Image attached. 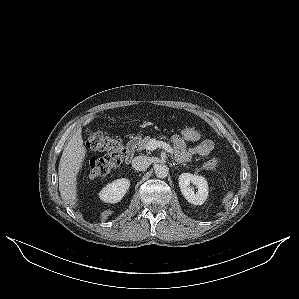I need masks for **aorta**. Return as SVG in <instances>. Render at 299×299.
I'll use <instances>...</instances> for the list:
<instances>
[{
    "label": "aorta",
    "mask_w": 299,
    "mask_h": 299,
    "mask_svg": "<svg viewBox=\"0 0 299 299\" xmlns=\"http://www.w3.org/2000/svg\"><path fill=\"white\" fill-rule=\"evenodd\" d=\"M155 174L158 178H166L169 174V168L165 164H159L155 167Z\"/></svg>",
    "instance_id": "762f6f07"
}]
</instances>
